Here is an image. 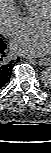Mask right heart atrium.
<instances>
[{"instance_id":"right-heart-atrium-1","label":"right heart atrium","mask_w":51,"mask_h":153,"mask_svg":"<svg viewBox=\"0 0 51 153\" xmlns=\"http://www.w3.org/2000/svg\"><path fill=\"white\" fill-rule=\"evenodd\" d=\"M22 27L21 11L10 0H0V33L6 37H15Z\"/></svg>"}]
</instances>
